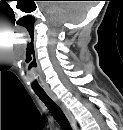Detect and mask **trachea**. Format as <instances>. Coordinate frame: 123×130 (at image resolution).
Listing matches in <instances>:
<instances>
[{
	"instance_id": "obj_1",
	"label": "trachea",
	"mask_w": 123,
	"mask_h": 130,
	"mask_svg": "<svg viewBox=\"0 0 123 130\" xmlns=\"http://www.w3.org/2000/svg\"><path fill=\"white\" fill-rule=\"evenodd\" d=\"M39 99L47 106L53 118L61 126L63 130H71L68 119L61 110V108L52 101V99L45 92H35Z\"/></svg>"
}]
</instances>
